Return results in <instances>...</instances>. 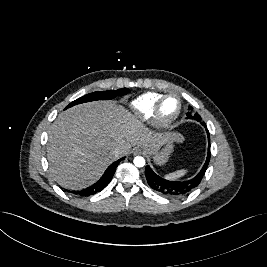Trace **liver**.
<instances>
[{
	"label": "liver",
	"instance_id": "1",
	"mask_svg": "<svg viewBox=\"0 0 267 267\" xmlns=\"http://www.w3.org/2000/svg\"><path fill=\"white\" fill-rule=\"evenodd\" d=\"M177 134L156 133L134 114L110 101L74 106L53 123L47 143L50 172L68 189L84 188L98 180L105 169L133 146L148 152L168 141H182ZM116 147L123 148L115 156Z\"/></svg>",
	"mask_w": 267,
	"mask_h": 267
}]
</instances>
